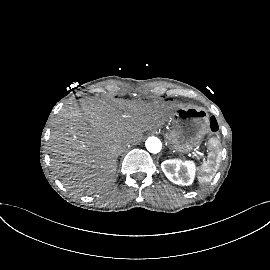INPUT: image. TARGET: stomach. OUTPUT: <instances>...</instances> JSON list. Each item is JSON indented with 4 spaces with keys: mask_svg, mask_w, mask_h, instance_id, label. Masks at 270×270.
I'll list each match as a JSON object with an SVG mask.
<instances>
[{
    "mask_svg": "<svg viewBox=\"0 0 270 270\" xmlns=\"http://www.w3.org/2000/svg\"><path fill=\"white\" fill-rule=\"evenodd\" d=\"M169 125L166 140L174 150L186 154L200 146L208 133L209 118L202 108L191 107L171 118Z\"/></svg>",
    "mask_w": 270,
    "mask_h": 270,
    "instance_id": "obj_1",
    "label": "stomach"
}]
</instances>
